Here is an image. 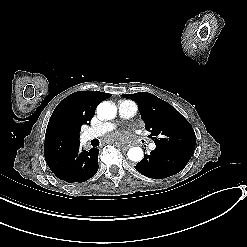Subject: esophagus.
<instances>
[{
    "label": "esophagus",
    "mask_w": 247,
    "mask_h": 247,
    "mask_svg": "<svg viewBox=\"0 0 247 247\" xmlns=\"http://www.w3.org/2000/svg\"><path fill=\"white\" fill-rule=\"evenodd\" d=\"M120 147H121L123 150H127V149L130 147V145H120Z\"/></svg>",
    "instance_id": "esophagus-1"
}]
</instances>
